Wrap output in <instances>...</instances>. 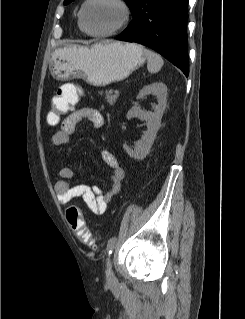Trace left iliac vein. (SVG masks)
<instances>
[{
	"instance_id": "obj_1",
	"label": "left iliac vein",
	"mask_w": 245,
	"mask_h": 319,
	"mask_svg": "<svg viewBox=\"0 0 245 319\" xmlns=\"http://www.w3.org/2000/svg\"><path fill=\"white\" fill-rule=\"evenodd\" d=\"M107 281L113 282L115 280V276L112 270V258L109 257L107 260Z\"/></svg>"
}]
</instances>
